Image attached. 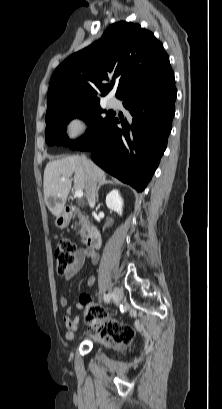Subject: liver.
<instances>
[{"instance_id": "liver-1", "label": "liver", "mask_w": 222, "mask_h": 409, "mask_svg": "<svg viewBox=\"0 0 222 409\" xmlns=\"http://www.w3.org/2000/svg\"><path fill=\"white\" fill-rule=\"evenodd\" d=\"M93 169L99 181L105 177L102 169L92 163ZM75 190L87 188V173L82 157L77 155L50 161L44 170V199L49 210L54 216H58L64 209L67 197L72 186ZM61 178H64L62 181Z\"/></svg>"}]
</instances>
